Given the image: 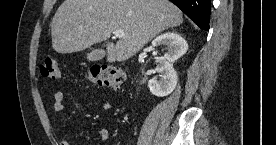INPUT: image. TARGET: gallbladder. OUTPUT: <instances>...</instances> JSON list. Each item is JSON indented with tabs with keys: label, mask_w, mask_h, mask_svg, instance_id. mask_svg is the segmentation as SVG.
<instances>
[{
	"label": "gallbladder",
	"mask_w": 276,
	"mask_h": 145,
	"mask_svg": "<svg viewBox=\"0 0 276 145\" xmlns=\"http://www.w3.org/2000/svg\"><path fill=\"white\" fill-rule=\"evenodd\" d=\"M104 55L105 52L102 49H94L88 54L87 59L89 61H99L103 59Z\"/></svg>",
	"instance_id": "obj_1"
}]
</instances>
